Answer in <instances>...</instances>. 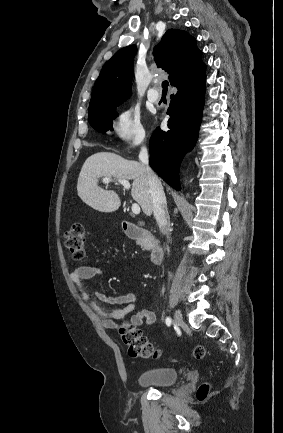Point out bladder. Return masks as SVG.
<instances>
[{
	"label": "bladder",
	"mask_w": 283,
	"mask_h": 433,
	"mask_svg": "<svg viewBox=\"0 0 283 433\" xmlns=\"http://www.w3.org/2000/svg\"><path fill=\"white\" fill-rule=\"evenodd\" d=\"M179 378V371L176 368H157L143 373L139 378L140 385L171 386Z\"/></svg>",
	"instance_id": "obj_1"
}]
</instances>
